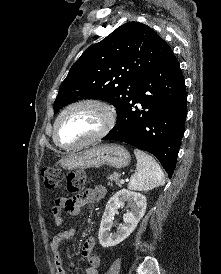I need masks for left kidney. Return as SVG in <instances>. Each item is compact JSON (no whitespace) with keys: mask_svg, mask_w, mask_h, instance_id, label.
Segmentation results:
<instances>
[{"mask_svg":"<svg viewBox=\"0 0 221 274\" xmlns=\"http://www.w3.org/2000/svg\"><path fill=\"white\" fill-rule=\"evenodd\" d=\"M125 202L130 204L131 210L124 214L123 224H120L115 233H110L114 220L115 211L123 206ZM146 197L140 193L122 189L115 193L108 201L102 216L99 229V243L108 248L124 241L137 227L139 221L145 214Z\"/></svg>","mask_w":221,"mask_h":274,"instance_id":"5707ae66","label":"left kidney"}]
</instances>
